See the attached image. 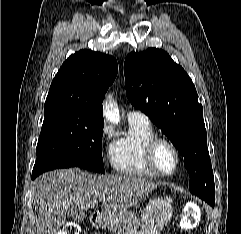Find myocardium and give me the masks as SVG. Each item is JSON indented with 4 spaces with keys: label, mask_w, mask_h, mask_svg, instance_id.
Masks as SVG:
<instances>
[{
    "label": "myocardium",
    "mask_w": 241,
    "mask_h": 234,
    "mask_svg": "<svg viewBox=\"0 0 241 234\" xmlns=\"http://www.w3.org/2000/svg\"><path fill=\"white\" fill-rule=\"evenodd\" d=\"M161 145H166L167 147H169L175 157V165L174 168L169 171V172H165L163 171L158 163H157V150L159 148V146ZM145 159L146 162L148 164V166L159 176L162 177H168L173 175L177 169L179 168V164H180V153L178 148L176 147V145L169 139L164 138V137H159V136H155L154 138H152L151 140H149V142L146 145L145 148Z\"/></svg>",
    "instance_id": "myocardium-1"
}]
</instances>
